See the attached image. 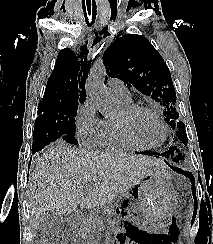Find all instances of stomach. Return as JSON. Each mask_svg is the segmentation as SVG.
Here are the masks:
<instances>
[{
  "label": "stomach",
  "mask_w": 213,
  "mask_h": 244,
  "mask_svg": "<svg viewBox=\"0 0 213 244\" xmlns=\"http://www.w3.org/2000/svg\"><path fill=\"white\" fill-rule=\"evenodd\" d=\"M138 198L145 224L170 217L177 208V192L165 174H153L132 187Z\"/></svg>",
  "instance_id": "obj_1"
}]
</instances>
